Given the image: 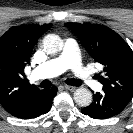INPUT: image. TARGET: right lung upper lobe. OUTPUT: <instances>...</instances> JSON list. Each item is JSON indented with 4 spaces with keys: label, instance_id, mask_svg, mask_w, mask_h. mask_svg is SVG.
I'll use <instances>...</instances> for the list:
<instances>
[{
    "label": "right lung upper lobe",
    "instance_id": "1",
    "mask_svg": "<svg viewBox=\"0 0 133 133\" xmlns=\"http://www.w3.org/2000/svg\"><path fill=\"white\" fill-rule=\"evenodd\" d=\"M52 24L11 27L0 37V104L11 115L28 109L42 91L24 74L38 39Z\"/></svg>",
    "mask_w": 133,
    "mask_h": 133
}]
</instances>
